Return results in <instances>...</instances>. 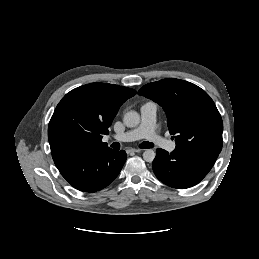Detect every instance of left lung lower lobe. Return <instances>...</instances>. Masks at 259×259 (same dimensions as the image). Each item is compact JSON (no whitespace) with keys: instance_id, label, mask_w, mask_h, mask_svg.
Here are the masks:
<instances>
[{"instance_id":"obj_1","label":"left lung lower lobe","mask_w":259,"mask_h":259,"mask_svg":"<svg viewBox=\"0 0 259 259\" xmlns=\"http://www.w3.org/2000/svg\"><path fill=\"white\" fill-rule=\"evenodd\" d=\"M153 171L164 184L185 189L198 184L211 170L220 152L207 149L179 150L168 153L157 149Z\"/></svg>"}]
</instances>
